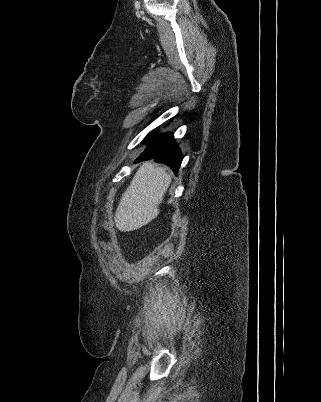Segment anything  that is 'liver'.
Wrapping results in <instances>:
<instances>
[{"instance_id": "1", "label": "liver", "mask_w": 321, "mask_h": 402, "mask_svg": "<svg viewBox=\"0 0 321 402\" xmlns=\"http://www.w3.org/2000/svg\"><path fill=\"white\" fill-rule=\"evenodd\" d=\"M170 183L171 176L164 168L144 163L120 199L114 216L116 228L134 231L155 219Z\"/></svg>"}]
</instances>
